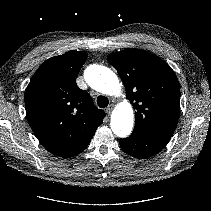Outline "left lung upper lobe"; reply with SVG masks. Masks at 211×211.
I'll return each instance as SVG.
<instances>
[{"mask_svg":"<svg viewBox=\"0 0 211 211\" xmlns=\"http://www.w3.org/2000/svg\"><path fill=\"white\" fill-rule=\"evenodd\" d=\"M107 58L136 110L133 133L171 137L180 114V86L173 70L161 58L137 49Z\"/></svg>","mask_w":211,"mask_h":211,"instance_id":"1","label":"left lung upper lobe"}]
</instances>
